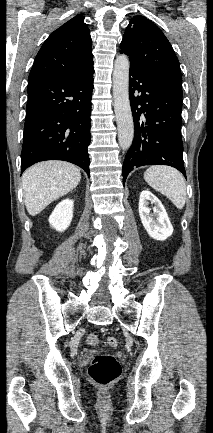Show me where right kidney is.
<instances>
[{
	"instance_id": "ca27d5eb",
	"label": "right kidney",
	"mask_w": 213,
	"mask_h": 433,
	"mask_svg": "<svg viewBox=\"0 0 213 433\" xmlns=\"http://www.w3.org/2000/svg\"><path fill=\"white\" fill-rule=\"evenodd\" d=\"M73 217V201L65 199L61 201L49 217L50 225L57 231H64L70 225Z\"/></svg>"
}]
</instances>
